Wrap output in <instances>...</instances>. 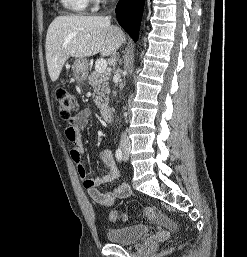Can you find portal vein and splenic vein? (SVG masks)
<instances>
[{
  "label": "portal vein and splenic vein",
  "mask_w": 247,
  "mask_h": 257,
  "mask_svg": "<svg viewBox=\"0 0 247 257\" xmlns=\"http://www.w3.org/2000/svg\"><path fill=\"white\" fill-rule=\"evenodd\" d=\"M107 68V62L104 59H99L95 62V70L97 73L105 72Z\"/></svg>",
  "instance_id": "obj_1"
}]
</instances>
